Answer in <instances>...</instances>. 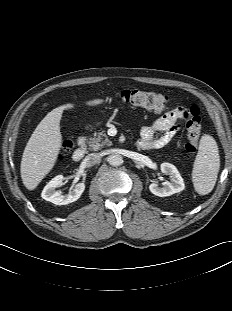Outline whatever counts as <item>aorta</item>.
I'll return each mask as SVG.
<instances>
[{
    "mask_svg": "<svg viewBox=\"0 0 232 311\" xmlns=\"http://www.w3.org/2000/svg\"><path fill=\"white\" fill-rule=\"evenodd\" d=\"M108 162L112 166H120L123 163V158L119 154H112L108 157Z\"/></svg>",
    "mask_w": 232,
    "mask_h": 311,
    "instance_id": "1",
    "label": "aorta"
}]
</instances>
